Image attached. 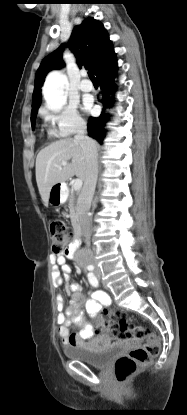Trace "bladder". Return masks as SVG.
<instances>
[{"instance_id": "31cf9c89", "label": "bladder", "mask_w": 187, "mask_h": 415, "mask_svg": "<svg viewBox=\"0 0 187 415\" xmlns=\"http://www.w3.org/2000/svg\"><path fill=\"white\" fill-rule=\"evenodd\" d=\"M120 345L108 350L93 352L79 346H68L64 348V354L69 359L79 360L95 368L106 367L111 359L119 354Z\"/></svg>"}]
</instances>
